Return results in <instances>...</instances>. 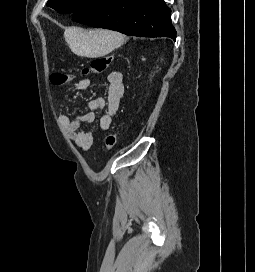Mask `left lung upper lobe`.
Returning <instances> with one entry per match:
<instances>
[{"label":"left lung upper lobe","instance_id":"obj_1","mask_svg":"<svg viewBox=\"0 0 255 272\" xmlns=\"http://www.w3.org/2000/svg\"><path fill=\"white\" fill-rule=\"evenodd\" d=\"M90 1L91 0H49L47 6L62 14L74 13Z\"/></svg>","mask_w":255,"mask_h":272}]
</instances>
